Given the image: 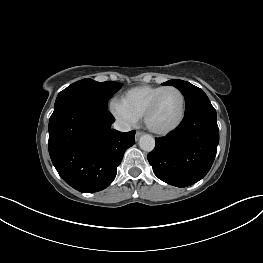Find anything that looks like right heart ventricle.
<instances>
[{
    "mask_svg": "<svg viewBox=\"0 0 263 263\" xmlns=\"http://www.w3.org/2000/svg\"><path fill=\"white\" fill-rule=\"evenodd\" d=\"M165 86H137L128 90L121 98L122 105L137 118H141L151 100Z\"/></svg>",
    "mask_w": 263,
    "mask_h": 263,
    "instance_id": "obj_1",
    "label": "right heart ventricle"
}]
</instances>
